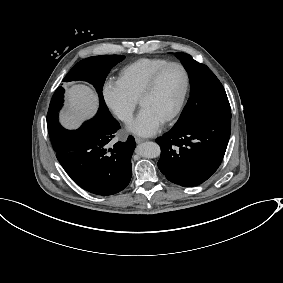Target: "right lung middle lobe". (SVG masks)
<instances>
[{
    "mask_svg": "<svg viewBox=\"0 0 283 283\" xmlns=\"http://www.w3.org/2000/svg\"><path fill=\"white\" fill-rule=\"evenodd\" d=\"M124 58L125 56L121 55H102L86 58L78 62L65 76L63 81L71 82L81 80L92 84L99 94L100 105L98 111L107 113L109 110L102 95V88L111 68ZM63 97L64 89L59 87L52 97L47 114L49 135L55 151L62 146L66 137V129L62 128L58 123V111L62 107Z\"/></svg>",
    "mask_w": 283,
    "mask_h": 283,
    "instance_id": "dd1d6c3e",
    "label": "right lung middle lobe"
}]
</instances>
